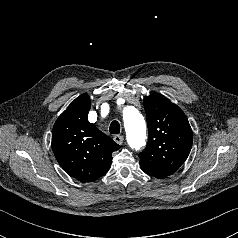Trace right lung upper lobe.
<instances>
[{"mask_svg":"<svg viewBox=\"0 0 238 238\" xmlns=\"http://www.w3.org/2000/svg\"><path fill=\"white\" fill-rule=\"evenodd\" d=\"M87 94L77 97L58 117L52 130L54 155L71 177L85 183L108 172L112 152L120 146L88 121Z\"/></svg>","mask_w":238,"mask_h":238,"instance_id":"right-lung-upper-lobe-1","label":"right lung upper lobe"}]
</instances>
